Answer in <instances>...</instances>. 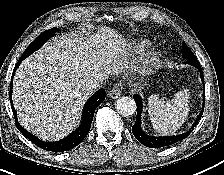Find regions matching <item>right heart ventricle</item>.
I'll list each match as a JSON object with an SVG mask.
<instances>
[{
	"mask_svg": "<svg viewBox=\"0 0 224 175\" xmlns=\"http://www.w3.org/2000/svg\"><path fill=\"white\" fill-rule=\"evenodd\" d=\"M149 45H150V42L148 40L141 39V40L133 41L131 43V48L134 52H139L147 48Z\"/></svg>",
	"mask_w": 224,
	"mask_h": 175,
	"instance_id": "e07e8e85",
	"label": "right heart ventricle"
}]
</instances>
